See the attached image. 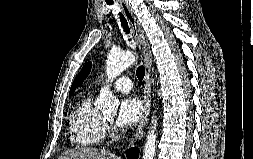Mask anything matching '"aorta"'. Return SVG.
Masks as SVG:
<instances>
[{
    "mask_svg": "<svg viewBox=\"0 0 253 159\" xmlns=\"http://www.w3.org/2000/svg\"><path fill=\"white\" fill-rule=\"evenodd\" d=\"M135 61L136 57L130 51H111L106 61V75L108 77V82L112 81ZM95 105L97 109L102 112L114 113L118 108L119 101L107 86L101 89ZM151 124L143 150V159H154L156 153V120L152 118Z\"/></svg>",
    "mask_w": 253,
    "mask_h": 159,
    "instance_id": "1",
    "label": "aorta"
}]
</instances>
